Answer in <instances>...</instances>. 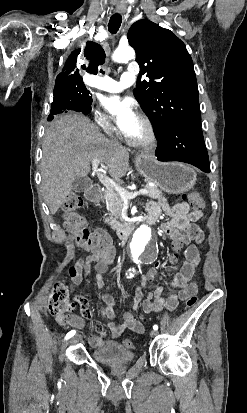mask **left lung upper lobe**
<instances>
[{
	"instance_id": "5c2ea615",
	"label": "left lung upper lobe",
	"mask_w": 247,
	"mask_h": 413,
	"mask_svg": "<svg viewBox=\"0 0 247 413\" xmlns=\"http://www.w3.org/2000/svg\"><path fill=\"white\" fill-rule=\"evenodd\" d=\"M127 37L140 66L134 95L155 134L179 122L201 126L197 80L185 44L149 20L134 23ZM145 73L149 82L140 81Z\"/></svg>"
}]
</instances>
